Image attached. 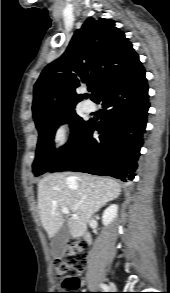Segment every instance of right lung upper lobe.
<instances>
[{"label":"right lung upper lobe","mask_w":170,"mask_h":293,"mask_svg":"<svg viewBox=\"0 0 170 293\" xmlns=\"http://www.w3.org/2000/svg\"><path fill=\"white\" fill-rule=\"evenodd\" d=\"M142 67L124 33L110 19L88 18L66 51L47 65L34 85L33 117L37 129L74 109L87 95L76 88L87 83L92 100L110 84Z\"/></svg>","instance_id":"obj_1"}]
</instances>
